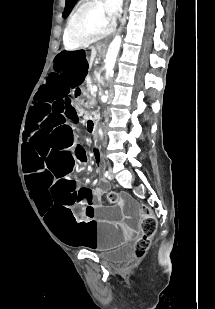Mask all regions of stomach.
<instances>
[{
    "mask_svg": "<svg viewBox=\"0 0 215 309\" xmlns=\"http://www.w3.org/2000/svg\"><path fill=\"white\" fill-rule=\"evenodd\" d=\"M97 51H98L99 53H102V52H103V48H102V47H98V48H97Z\"/></svg>",
    "mask_w": 215,
    "mask_h": 309,
    "instance_id": "obj_1",
    "label": "stomach"
}]
</instances>
